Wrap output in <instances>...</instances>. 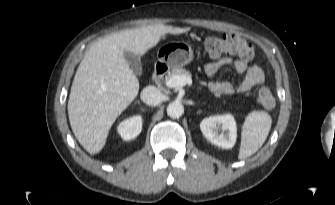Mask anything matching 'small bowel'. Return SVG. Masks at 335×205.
<instances>
[{
    "instance_id": "1",
    "label": "small bowel",
    "mask_w": 335,
    "mask_h": 205,
    "mask_svg": "<svg viewBox=\"0 0 335 205\" xmlns=\"http://www.w3.org/2000/svg\"><path fill=\"white\" fill-rule=\"evenodd\" d=\"M226 65H232L234 70L242 75V79L236 86L228 81L211 83L209 88L214 92L221 94L244 93L264 82V72L259 65L248 66L244 60L231 57H224L206 64L205 72L208 76H214Z\"/></svg>"
}]
</instances>
